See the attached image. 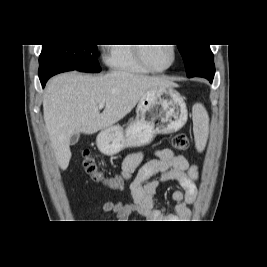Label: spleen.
<instances>
[{"label": "spleen", "instance_id": "3e777b00", "mask_svg": "<svg viewBox=\"0 0 267 267\" xmlns=\"http://www.w3.org/2000/svg\"><path fill=\"white\" fill-rule=\"evenodd\" d=\"M209 118L206 112L202 111L194 117V137L196 148L202 151L205 147L208 130H209Z\"/></svg>", "mask_w": 267, "mask_h": 267}]
</instances>
